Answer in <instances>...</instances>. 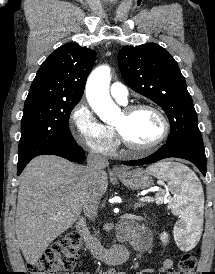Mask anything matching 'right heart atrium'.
I'll return each mask as SVG.
<instances>
[{"mask_svg": "<svg viewBox=\"0 0 215 274\" xmlns=\"http://www.w3.org/2000/svg\"><path fill=\"white\" fill-rule=\"evenodd\" d=\"M70 131L78 144L94 153L111 155L116 148L113 130L102 124L83 100L71 111Z\"/></svg>", "mask_w": 215, "mask_h": 274, "instance_id": "right-heart-atrium-1", "label": "right heart atrium"}]
</instances>
